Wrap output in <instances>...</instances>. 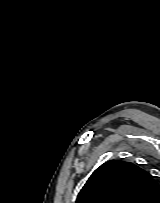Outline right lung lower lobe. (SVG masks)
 I'll use <instances>...</instances> for the list:
<instances>
[{
  "instance_id": "98d812e1",
  "label": "right lung lower lobe",
  "mask_w": 160,
  "mask_h": 203,
  "mask_svg": "<svg viewBox=\"0 0 160 203\" xmlns=\"http://www.w3.org/2000/svg\"><path fill=\"white\" fill-rule=\"evenodd\" d=\"M154 203H160V195L156 198V201Z\"/></svg>"
}]
</instances>
